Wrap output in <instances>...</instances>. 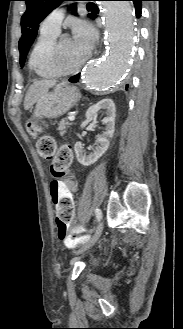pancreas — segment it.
Listing matches in <instances>:
<instances>
[{
  "instance_id": "obj_1",
  "label": "pancreas",
  "mask_w": 183,
  "mask_h": 329,
  "mask_svg": "<svg viewBox=\"0 0 183 329\" xmlns=\"http://www.w3.org/2000/svg\"><path fill=\"white\" fill-rule=\"evenodd\" d=\"M71 125V123L65 119H62L58 126V131L60 132V135H63L66 131V129Z\"/></svg>"
}]
</instances>
